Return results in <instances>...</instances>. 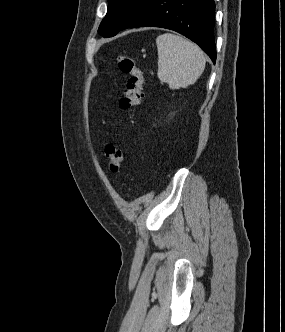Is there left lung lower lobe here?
<instances>
[{
    "label": "left lung lower lobe",
    "mask_w": 285,
    "mask_h": 332,
    "mask_svg": "<svg viewBox=\"0 0 285 332\" xmlns=\"http://www.w3.org/2000/svg\"><path fill=\"white\" fill-rule=\"evenodd\" d=\"M214 0H153L129 27H161L181 33L216 61Z\"/></svg>",
    "instance_id": "1"
}]
</instances>
